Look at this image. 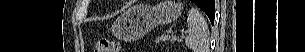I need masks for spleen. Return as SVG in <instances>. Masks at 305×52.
I'll return each mask as SVG.
<instances>
[{
	"label": "spleen",
	"instance_id": "spleen-1",
	"mask_svg": "<svg viewBox=\"0 0 305 52\" xmlns=\"http://www.w3.org/2000/svg\"><path fill=\"white\" fill-rule=\"evenodd\" d=\"M188 35L185 44L193 52H210L209 29L206 20L197 9H190L187 18Z\"/></svg>",
	"mask_w": 305,
	"mask_h": 52
}]
</instances>
